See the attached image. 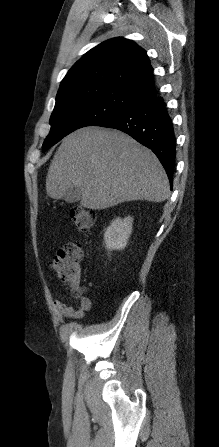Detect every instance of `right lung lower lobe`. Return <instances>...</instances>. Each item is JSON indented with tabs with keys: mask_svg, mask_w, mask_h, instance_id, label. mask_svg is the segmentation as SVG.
<instances>
[{
	"mask_svg": "<svg viewBox=\"0 0 219 447\" xmlns=\"http://www.w3.org/2000/svg\"><path fill=\"white\" fill-rule=\"evenodd\" d=\"M97 126L123 131L151 149L166 170L172 189L176 139L166 104L158 94L140 101Z\"/></svg>",
	"mask_w": 219,
	"mask_h": 447,
	"instance_id": "obj_1",
	"label": "right lung lower lobe"
}]
</instances>
